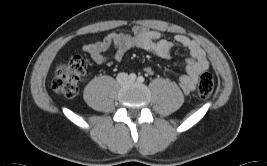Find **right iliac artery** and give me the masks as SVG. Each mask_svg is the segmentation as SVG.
Here are the masks:
<instances>
[{"label":"right iliac artery","mask_w":267,"mask_h":166,"mask_svg":"<svg viewBox=\"0 0 267 166\" xmlns=\"http://www.w3.org/2000/svg\"><path fill=\"white\" fill-rule=\"evenodd\" d=\"M129 78H130L131 80H135V79H136V74H135V73H131V74L129 75Z\"/></svg>","instance_id":"obj_1"}]
</instances>
